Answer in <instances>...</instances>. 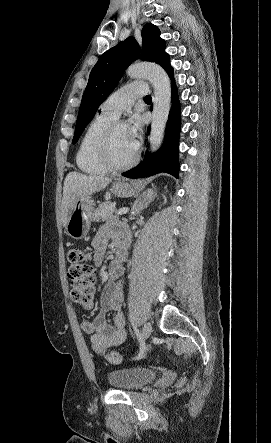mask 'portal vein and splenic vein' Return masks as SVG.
Masks as SVG:
<instances>
[{"label": "portal vein and splenic vein", "instance_id": "1", "mask_svg": "<svg viewBox=\"0 0 271 443\" xmlns=\"http://www.w3.org/2000/svg\"><path fill=\"white\" fill-rule=\"evenodd\" d=\"M128 212V208H122V210H118V212H116V216H122V214H127Z\"/></svg>", "mask_w": 271, "mask_h": 443}]
</instances>
